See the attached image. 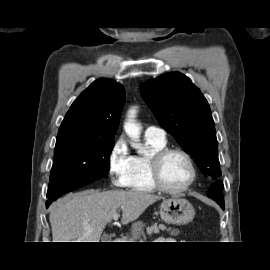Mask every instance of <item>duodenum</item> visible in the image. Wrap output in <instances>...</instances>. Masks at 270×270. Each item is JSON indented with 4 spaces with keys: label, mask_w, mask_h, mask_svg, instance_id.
<instances>
[{
    "label": "duodenum",
    "mask_w": 270,
    "mask_h": 270,
    "mask_svg": "<svg viewBox=\"0 0 270 270\" xmlns=\"http://www.w3.org/2000/svg\"><path fill=\"white\" fill-rule=\"evenodd\" d=\"M112 240H113V242H117L118 241V239H116V238H113Z\"/></svg>",
    "instance_id": "410a0bca"
}]
</instances>
